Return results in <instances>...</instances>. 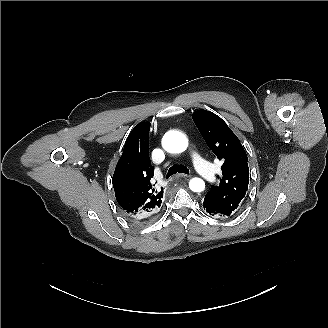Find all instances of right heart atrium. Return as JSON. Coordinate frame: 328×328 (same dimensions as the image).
Instances as JSON below:
<instances>
[{"label": "right heart atrium", "mask_w": 328, "mask_h": 328, "mask_svg": "<svg viewBox=\"0 0 328 328\" xmlns=\"http://www.w3.org/2000/svg\"><path fill=\"white\" fill-rule=\"evenodd\" d=\"M151 150H152V151H155V148H152Z\"/></svg>", "instance_id": "right-heart-atrium-1"}]
</instances>
